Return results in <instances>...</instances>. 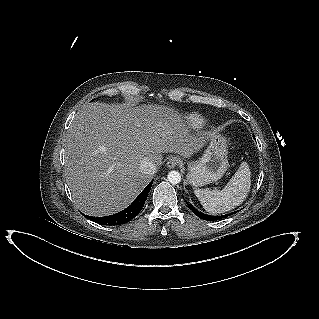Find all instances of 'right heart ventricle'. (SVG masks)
<instances>
[{
    "mask_svg": "<svg viewBox=\"0 0 319 319\" xmlns=\"http://www.w3.org/2000/svg\"><path fill=\"white\" fill-rule=\"evenodd\" d=\"M187 119L193 127H200L205 123L204 118L198 114H189Z\"/></svg>",
    "mask_w": 319,
    "mask_h": 319,
    "instance_id": "1",
    "label": "right heart ventricle"
}]
</instances>
